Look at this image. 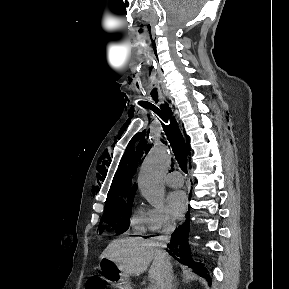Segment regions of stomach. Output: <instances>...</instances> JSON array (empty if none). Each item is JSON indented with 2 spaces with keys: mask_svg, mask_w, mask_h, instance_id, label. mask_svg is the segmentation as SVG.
<instances>
[{
  "mask_svg": "<svg viewBox=\"0 0 289 289\" xmlns=\"http://www.w3.org/2000/svg\"><path fill=\"white\" fill-rule=\"evenodd\" d=\"M98 269L119 289H131L129 276L120 271L116 264L107 258H101Z\"/></svg>",
  "mask_w": 289,
  "mask_h": 289,
  "instance_id": "0dacf381",
  "label": "stomach"
}]
</instances>
